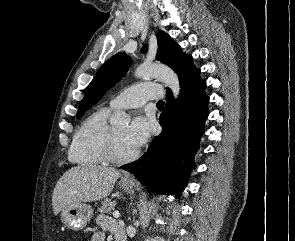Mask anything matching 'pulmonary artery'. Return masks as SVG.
<instances>
[{
  "mask_svg": "<svg viewBox=\"0 0 295 241\" xmlns=\"http://www.w3.org/2000/svg\"><path fill=\"white\" fill-rule=\"evenodd\" d=\"M163 96L161 86L155 83H140L129 87L109 102L111 109L138 108L148 100L160 99Z\"/></svg>",
  "mask_w": 295,
  "mask_h": 241,
  "instance_id": "pulmonary-artery-1",
  "label": "pulmonary artery"
}]
</instances>
